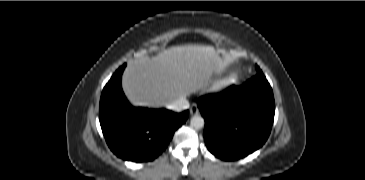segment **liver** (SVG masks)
Listing matches in <instances>:
<instances>
[{
	"mask_svg": "<svg viewBox=\"0 0 365 180\" xmlns=\"http://www.w3.org/2000/svg\"><path fill=\"white\" fill-rule=\"evenodd\" d=\"M224 68L225 63L213 46H173L130 65L122 85L133 105L160 107L196 92Z\"/></svg>",
	"mask_w": 365,
	"mask_h": 180,
	"instance_id": "1",
	"label": "liver"
}]
</instances>
